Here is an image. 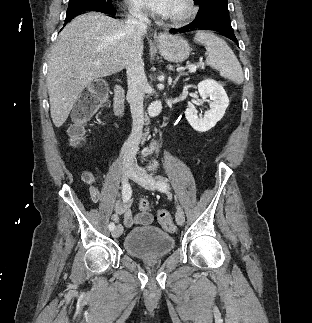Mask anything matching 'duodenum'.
Returning a JSON list of instances; mask_svg holds the SVG:
<instances>
[{
    "instance_id": "410a0bca",
    "label": "duodenum",
    "mask_w": 312,
    "mask_h": 323,
    "mask_svg": "<svg viewBox=\"0 0 312 323\" xmlns=\"http://www.w3.org/2000/svg\"><path fill=\"white\" fill-rule=\"evenodd\" d=\"M125 110V89L122 85H116L114 87V111L118 117H123Z\"/></svg>"
}]
</instances>
